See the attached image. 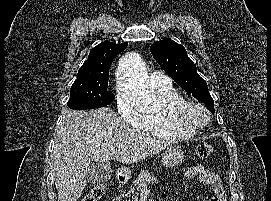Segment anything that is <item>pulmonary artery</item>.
<instances>
[{
  "mask_svg": "<svg viewBox=\"0 0 271 201\" xmlns=\"http://www.w3.org/2000/svg\"><path fill=\"white\" fill-rule=\"evenodd\" d=\"M150 83L153 87H166L171 85V79L161 72H153L150 76Z\"/></svg>",
  "mask_w": 271,
  "mask_h": 201,
  "instance_id": "pulmonary-artery-1",
  "label": "pulmonary artery"
}]
</instances>
